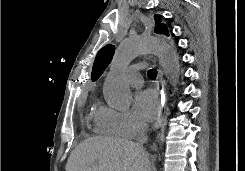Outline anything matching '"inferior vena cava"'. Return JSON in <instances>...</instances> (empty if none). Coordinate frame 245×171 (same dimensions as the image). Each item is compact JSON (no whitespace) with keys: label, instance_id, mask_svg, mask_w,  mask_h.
Wrapping results in <instances>:
<instances>
[{"label":"inferior vena cava","instance_id":"inferior-vena-cava-1","mask_svg":"<svg viewBox=\"0 0 245 171\" xmlns=\"http://www.w3.org/2000/svg\"><path fill=\"white\" fill-rule=\"evenodd\" d=\"M147 130H148L147 124L145 122H141L139 124L137 143L136 144L142 150H143V148H142L143 144L147 142Z\"/></svg>","mask_w":245,"mask_h":171}]
</instances>
